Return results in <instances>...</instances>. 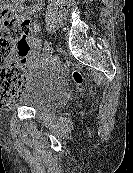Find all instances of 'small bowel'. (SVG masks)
<instances>
[{"mask_svg":"<svg viewBox=\"0 0 133 173\" xmlns=\"http://www.w3.org/2000/svg\"><path fill=\"white\" fill-rule=\"evenodd\" d=\"M38 31H39V25L37 23H32L31 32L33 34H35ZM28 42L30 45V51L24 62V66H25V68H32L42 59L43 53L40 49V42L38 39L31 36V37H29Z\"/></svg>","mask_w":133,"mask_h":173,"instance_id":"small-bowel-1","label":"small bowel"}]
</instances>
